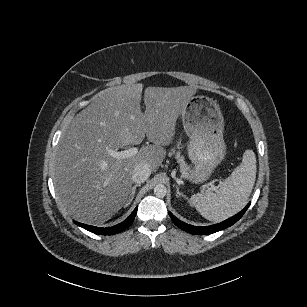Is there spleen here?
Listing matches in <instances>:
<instances>
[{
	"label": "spleen",
	"instance_id": "1",
	"mask_svg": "<svg viewBox=\"0 0 307 307\" xmlns=\"http://www.w3.org/2000/svg\"><path fill=\"white\" fill-rule=\"evenodd\" d=\"M256 156L246 150L241 164L234 169L215 193L191 196L190 203L207 220L219 222L239 212L247 203L256 179Z\"/></svg>",
	"mask_w": 307,
	"mask_h": 307
}]
</instances>
